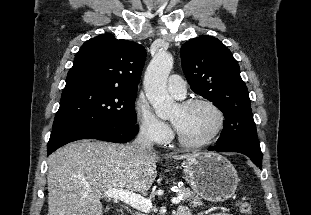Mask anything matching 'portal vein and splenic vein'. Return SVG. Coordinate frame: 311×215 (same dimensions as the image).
Listing matches in <instances>:
<instances>
[{"instance_id": "portal-vein-and-splenic-vein-1", "label": "portal vein and splenic vein", "mask_w": 311, "mask_h": 215, "mask_svg": "<svg viewBox=\"0 0 311 215\" xmlns=\"http://www.w3.org/2000/svg\"><path fill=\"white\" fill-rule=\"evenodd\" d=\"M104 196L108 198H113L115 200H120L131 207L140 210L142 212H150L152 209V202L138 194L132 193L123 189H109L104 192ZM182 200L181 197H174L171 199L173 204H179Z\"/></svg>"}]
</instances>
